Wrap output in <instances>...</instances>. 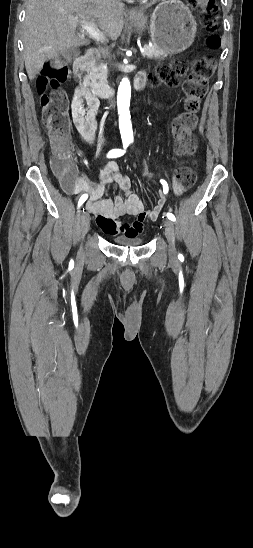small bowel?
<instances>
[{
	"label": "small bowel",
	"instance_id": "obj_1",
	"mask_svg": "<svg viewBox=\"0 0 253 548\" xmlns=\"http://www.w3.org/2000/svg\"><path fill=\"white\" fill-rule=\"evenodd\" d=\"M99 101L84 87L75 88L71 102V114L74 127L89 145L96 138L102 143L103 132L98 121ZM75 167V166H74ZM98 181L93 183L87 176L80 175L77 168L71 178L62 180V189L68 194L84 193L89 196L87 209L95 215L98 227L106 234L135 236L143 233L147 217L156 219L165 205V199H160L152 210H146L137 193L131 189L129 177L119 171L114 160L98 170ZM110 186L121 192L113 199L105 195ZM172 190L175 195H182L186 188L175 178L172 180ZM135 216L136 220L127 224L119 219L123 215Z\"/></svg>",
	"mask_w": 253,
	"mask_h": 548
}]
</instances>
